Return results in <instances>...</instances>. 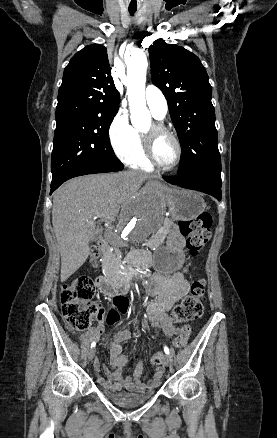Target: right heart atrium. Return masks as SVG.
<instances>
[{
    "instance_id": "d8ad5b80",
    "label": "right heart atrium",
    "mask_w": 277,
    "mask_h": 438,
    "mask_svg": "<svg viewBox=\"0 0 277 438\" xmlns=\"http://www.w3.org/2000/svg\"><path fill=\"white\" fill-rule=\"evenodd\" d=\"M109 136L115 151L121 157H125L134 151L136 134L124 111H119L114 117L109 129Z\"/></svg>"
}]
</instances>
